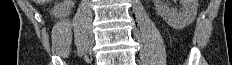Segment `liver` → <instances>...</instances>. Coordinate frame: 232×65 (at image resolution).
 Returning a JSON list of instances; mask_svg holds the SVG:
<instances>
[{
    "label": "liver",
    "instance_id": "obj_1",
    "mask_svg": "<svg viewBox=\"0 0 232 65\" xmlns=\"http://www.w3.org/2000/svg\"><path fill=\"white\" fill-rule=\"evenodd\" d=\"M36 3L44 4L50 2V0H34Z\"/></svg>",
    "mask_w": 232,
    "mask_h": 65
}]
</instances>
